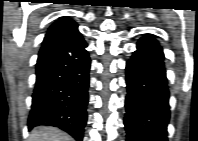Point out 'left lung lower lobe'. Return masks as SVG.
Here are the masks:
<instances>
[{
    "instance_id": "1",
    "label": "left lung lower lobe",
    "mask_w": 198,
    "mask_h": 141,
    "mask_svg": "<svg viewBox=\"0 0 198 141\" xmlns=\"http://www.w3.org/2000/svg\"><path fill=\"white\" fill-rule=\"evenodd\" d=\"M126 84L127 141H167L170 106L164 54L152 36L139 40L127 61ZM142 99L149 101L148 110L142 108Z\"/></svg>"
}]
</instances>
